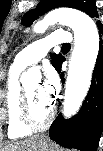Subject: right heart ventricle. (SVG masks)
<instances>
[{
	"label": "right heart ventricle",
	"instance_id": "obj_1",
	"mask_svg": "<svg viewBox=\"0 0 103 151\" xmlns=\"http://www.w3.org/2000/svg\"><path fill=\"white\" fill-rule=\"evenodd\" d=\"M25 67L16 61L9 70L6 84L5 105L7 110V135L11 139H19L31 134L20 118V102L22 86L19 81L21 72Z\"/></svg>",
	"mask_w": 103,
	"mask_h": 151
}]
</instances>
